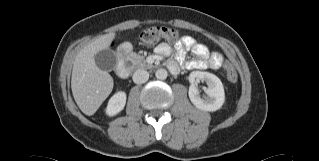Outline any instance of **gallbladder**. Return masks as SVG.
Wrapping results in <instances>:
<instances>
[{"label": "gallbladder", "mask_w": 319, "mask_h": 161, "mask_svg": "<svg viewBox=\"0 0 319 161\" xmlns=\"http://www.w3.org/2000/svg\"><path fill=\"white\" fill-rule=\"evenodd\" d=\"M94 59L97 67L104 71H111L117 65V56L115 52L109 48L98 52L94 56Z\"/></svg>", "instance_id": "bac80fb5"}]
</instances>
